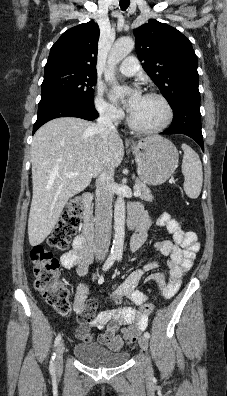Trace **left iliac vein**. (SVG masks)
Segmentation results:
<instances>
[{"label":"left iliac vein","mask_w":227,"mask_h":396,"mask_svg":"<svg viewBox=\"0 0 227 396\" xmlns=\"http://www.w3.org/2000/svg\"><path fill=\"white\" fill-rule=\"evenodd\" d=\"M139 345L141 347V349L145 352H147L148 350V339L145 336H141L139 339ZM147 368H150V364L149 362L147 363Z\"/></svg>","instance_id":"obj_1"}]
</instances>
